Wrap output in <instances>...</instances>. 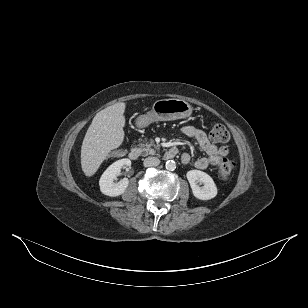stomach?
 <instances>
[{
  "instance_id": "stomach-1",
  "label": "stomach",
  "mask_w": 308,
  "mask_h": 308,
  "mask_svg": "<svg viewBox=\"0 0 308 308\" xmlns=\"http://www.w3.org/2000/svg\"><path fill=\"white\" fill-rule=\"evenodd\" d=\"M192 113V106L183 99L169 98L157 100L148 113L137 119L140 127H146L158 121H171L189 117Z\"/></svg>"
}]
</instances>
